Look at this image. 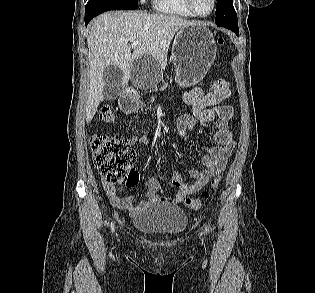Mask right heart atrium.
Returning a JSON list of instances; mask_svg holds the SVG:
<instances>
[{
    "mask_svg": "<svg viewBox=\"0 0 315 293\" xmlns=\"http://www.w3.org/2000/svg\"><path fill=\"white\" fill-rule=\"evenodd\" d=\"M148 0H141V2H143V3H145V2H147Z\"/></svg>",
    "mask_w": 315,
    "mask_h": 293,
    "instance_id": "d8ad5b80",
    "label": "right heart atrium"
}]
</instances>
